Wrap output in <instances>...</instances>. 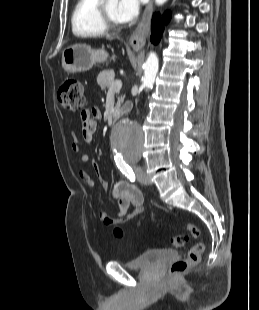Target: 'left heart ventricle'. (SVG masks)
Masks as SVG:
<instances>
[{
  "label": "left heart ventricle",
  "instance_id": "left-heart-ventricle-1",
  "mask_svg": "<svg viewBox=\"0 0 259 310\" xmlns=\"http://www.w3.org/2000/svg\"><path fill=\"white\" fill-rule=\"evenodd\" d=\"M118 2L116 0H106L105 1V8L107 11L108 16L115 22L119 23L116 10H117Z\"/></svg>",
  "mask_w": 259,
  "mask_h": 310
}]
</instances>
